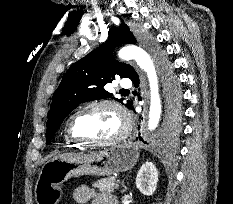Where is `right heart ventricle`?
<instances>
[{
	"mask_svg": "<svg viewBox=\"0 0 233 204\" xmlns=\"http://www.w3.org/2000/svg\"><path fill=\"white\" fill-rule=\"evenodd\" d=\"M64 139H65L66 144H67L69 147H77V148H80L81 146H83V144H81V143H79V142H76V141L72 140V139L67 135L66 132H65V134H64Z\"/></svg>",
	"mask_w": 233,
	"mask_h": 204,
	"instance_id": "right-heart-ventricle-1",
	"label": "right heart ventricle"
}]
</instances>
